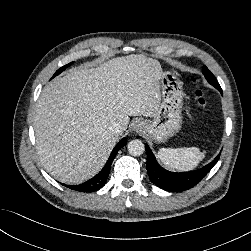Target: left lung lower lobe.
<instances>
[{"label": "left lung lower lobe", "instance_id": "1", "mask_svg": "<svg viewBox=\"0 0 251 251\" xmlns=\"http://www.w3.org/2000/svg\"><path fill=\"white\" fill-rule=\"evenodd\" d=\"M214 87L217 88L222 94V89L219 85H215ZM145 149L147 153L146 168L151 182L159 188L167 191H184L194 187L214 167L220 156V154L217 155L212 162L200 169L189 172L175 173L165 170L157 163L155 156L148 144H145Z\"/></svg>", "mask_w": 251, "mask_h": 251}]
</instances>
